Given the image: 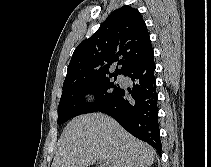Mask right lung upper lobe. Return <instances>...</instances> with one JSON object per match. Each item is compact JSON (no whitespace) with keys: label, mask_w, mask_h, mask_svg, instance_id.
Here are the masks:
<instances>
[{"label":"right lung upper lobe","mask_w":211,"mask_h":167,"mask_svg":"<svg viewBox=\"0 0 211 167\" xmlns=\"http://www.w3.org/2000/svg\"><path fill=\"white\" fill-rule=\"evenodd\" d=\"M153 56L146 24L140 12L123 6L112 12L99 29L75 49L63 86L86 79L124 74ZM117 62L121 68L110 72Z\"/></svg>","instance_id":"right-lung-upper-lobe-1"}]
</instances>
